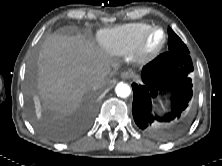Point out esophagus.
<instances>
[{"mask_svg": "<svg viewBox=\"0 0 222 166\" xmlns=\"http://www.w3.org/2000/svg\"><path fill=\"white\" fill-rule=\"evenodd\" d=\"M120 77H121L122 79H128V78L131 77V73L128 72V71H123V72L120 73Z\"/></svg>", "mask_w": 222, "mask_h": 166, "instance_id": "34e87169", "label": "esophagus"}]
</instances>
